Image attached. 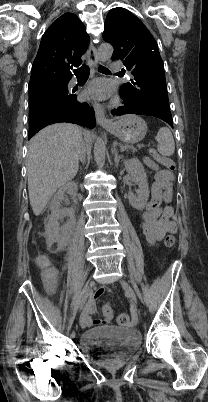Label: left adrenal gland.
<instances>
[{
	"instance_id": "left-adrenal-gland-1",
	"label": "left adrenal gland",
	"mask_w": 208,
	"mask_h": 402,
	"mask_svg": "<svg viewBox=\"0 0 208 402\" xmlns=\"http://www.w3.org/2000/svg\"><path fill=\"white\" fill-rule=\"evenodd\" d=\"M112 154H114V162H115V166H118L120 160H123V156H118V152L114 146V148H112L111 150Z\"/></svg>"
}]
</instances>
